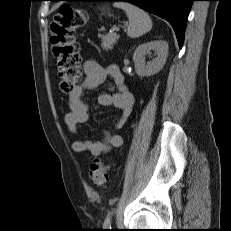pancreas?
I'll use <instances>...</instances> for the list:
<instances>
[{
	"mask_svg": "<svg viewBox=\"0 0 231 231\" xmlns=\"http://www.w3.org/2000/svg\"><path fill=\"white\" fill-rule=\"evenodd\" d=\"M101 39H102L101 47L108 51L113 48V45L119 39V35H117L116 33H109L107 35H102Z\"/></svg>",
	"mask_w": 231,
	"mask_h": 231,
	"instance_id": "obj_1",
	"label": "pancreas"
}]
</instances>
